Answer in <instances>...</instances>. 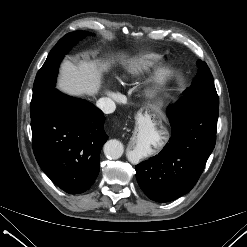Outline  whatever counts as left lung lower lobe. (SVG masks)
<instances>
[{
    "instance_id": "left-lung-lower-lobe-1",
    "label": "left lung lower lobe",
    "mask_w": 247,
    "mask_h": 247,
    "mask_svg": "<svg viewBox=\"0 0 247 247\" xmlns=\"http://www.w3.org/2000/svg\"><path fill=\"white\" fill-rule=\"evenodd\" d=\"M218 114L219 103L199 94H184L168 107L169 143L135 167L139 186L150 199L169 202L194 187L215 146Z\"/></svg>"
}]
</instances>
